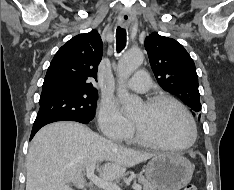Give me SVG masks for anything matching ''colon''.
Segmentation results:
<instances>
[{"label": "colon", "instance_id": "obj_1", "mask_svg": "<svg viewBox=\"0 0 234 190\" xmlns=\"http://www.w3.org/2000/svg\"><path fill=\"white\" fill-rule=\"evenodd\" d=\"M183 190H197L195 186L193 185H188L186 186Z\"/></svg>", "mask_w": 234, "mask_h": 190}]
</instances>
